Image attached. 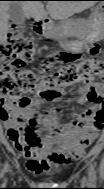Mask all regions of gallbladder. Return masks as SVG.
Returning <instances> with one entry per match:
<instances>
[{
  "mask_svg": "<svg viewBox=\"0 0 104 189\" xmlns=\"http://www.w3.org/2000/svg\"><path fill=\"white\" fill-rule=\"evenodd\" d=\"M18 3L19 2H14L9 4V13L13 23L17 25V32L23 34L26 31V27L24 24L23 9Z\"/></svg>",
  "mask_w": 104,
  "mask_h": 189,
  "instance_id": "gallbladder-1",
  "label": "gallbladder"
}]
</instances>
